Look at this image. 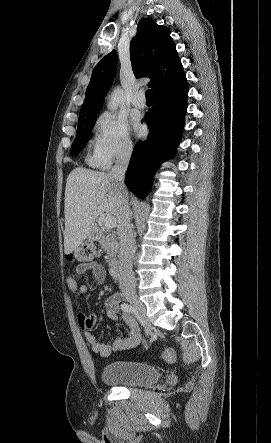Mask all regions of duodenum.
<instances>
[{"label":"duodenum","mask_w":271,"mask_h":443,"mask_svg":"<svg viewBox=\"0 0 271 443\" xmlns=\"http://www.w3.org/2000/svg\"><path fill=\"white\" fill-rule=\"evenodd\" d=\"M130 253H131L130 245L125 243L120 259L113 260L110 263V272L113 276L119 277L121 275V271L124 264L127 263L130 258Z\"/></svg>","instance_id":"obj_1"}]
</instances>
